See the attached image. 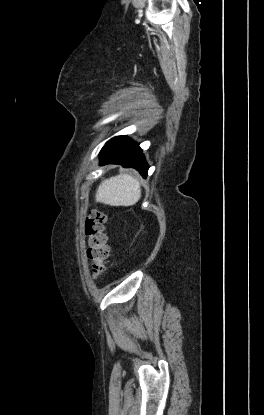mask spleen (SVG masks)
I'll list each match as a JSON object with an SVG mask.
<instances>
[{
    "label": "spleen",
    "instance_id": "obj_1",
    "mask_svg": "<svg viewBox=\"0 0 264 415\" xmlns=\"http://www.w3.org/2000/svg\"><path fill=\"white\" fill-rule=\"evenodd\" d=\"M140 197L138 180L129 174H119L101 182L95 200L110 206H131L138 202Z\"/></svg>",
    "mask_w": 264,
    "mask_h": 415
}]
</instances>
